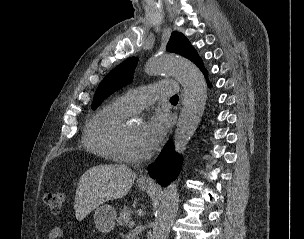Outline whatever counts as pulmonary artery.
<instances>
[{
	"mask_svg": "<svg viewBox=\"0 0 304 239\" xmlns=\"http://www.w3.org/2000/svg\"><path fill=\"white\" fill-rule=\"evenodd\" d=\"M177 92L173 81H161L137 89L130 90L120 97L133 111H138L155 102L159 98L172 96Z\"/></svg>",
	"mask_w": 304,
	"mask_h": 239,
	"instance_id": "obj_1",
	"label": "pulmonary artery"
}]
</instances>
